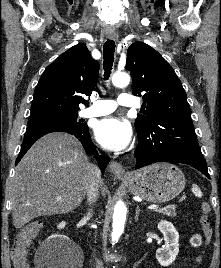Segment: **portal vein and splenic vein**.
<instances>
[{
    "instance_id": "1",
    "label": "portal vein and splenic vein",
    "mask_w": 221,
    "mask_h": 268,
    "mask_svg": "<svg viewBox=\"0 0 221 268\" xmlns=\"http://www.w3.org/2000/svg\"><path fill=\"white\" fill-rule=\"evenodd\" d=\"M60 199V198H59ZM149 210H156V209H158L159 208V206L158 205H150V206H148L147 207Z\"/></svg>"
}]
</instances>
